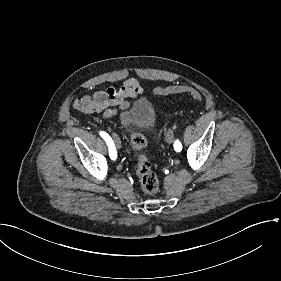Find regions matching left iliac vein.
I'll return each mask as SVG.
<instances>
[{"instance_id": "left-iliac-vein-1", "label": "left iliac vein", "mask_w": 281, "mask_h": 281, "mask_svg": "<svg viewBox=\"0 0 281 281\" xmlns=\"http://www.w3.org/2000/svg\"><path fill=\"white\" fill-rule=\"evenodd\" d=\"M174 140V135L173 132L171 130H169L166 134V141L167 143L171 144Z\"/></svg>"}]
</instances>
